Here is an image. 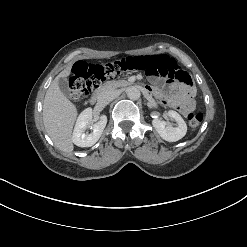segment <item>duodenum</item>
I'll return each instance as SVG.
<instances>
[{"label":"duodenum","instance_id":"410a0bca","mask_svg":"<svg viewBox=\"0 0 247 247\" xmlns=\"http://www.w3.org/2000/svg\"><path fill=\"white\" fill-rule=\"evenodd\" d=\"M145 90V89H144ZM103 91L101 89L95 90L90 96V103L97 104L101 102Z\"/></svg>","mask_w":247,"mask_h":247}]
</instances>
